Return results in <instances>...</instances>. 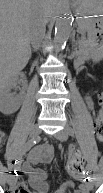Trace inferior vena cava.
I'll return each mask as SVG.
<instances>
[{"instance_id":"1","label":"inferior vena cava","mask_w":103,"mask_h":193,"mask_svg":"<svg viewBox=\"0 0 103 193\" xmlns=\"http://www.w3.org/2000/svg\"><path fill=\"white\" fill-rule=\"evenodd\" d=\"M29 33L31 44L34 50H37L45 33V21L41 16L32 17Z\"/></svg>"}]
</instances>
